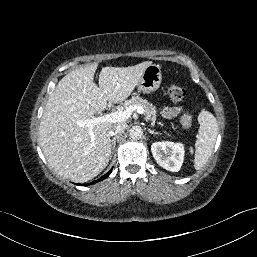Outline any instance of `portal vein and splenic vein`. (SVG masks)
Wrapping results in <instances>:
<instances>
[{
	"label": "portal vein and splenic vein",
	"instance_id": "18ae733b",
	"mask_svg": "<svg viewBox=\"0 0 257 257\" xmlns=\"http://www.w3.org/2000/svg\"><path fill=\"white\" fill-rule=\"evenodd\" d=\"M133 111H136L139 114H143L144 108L139 105L129 106V107H126L124 110L108 113L100 117H93L91 119H87L84 121H78V125L81 127H87L89 129L91 140L93 141L94 140V134L92 131L93 126L103 122L116 123V122L126 121L128 118L131 117V114Z\"/></svg>",
	"mask_w": 257,
	"mask_h": 257
}]
</instances>
